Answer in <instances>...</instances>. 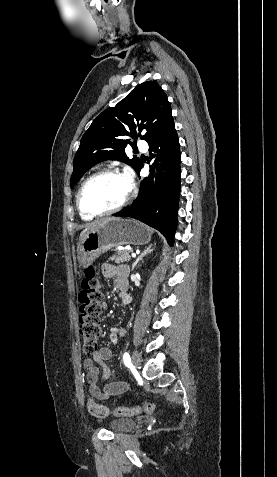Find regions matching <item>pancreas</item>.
I'll return each mask as SVG.
<instances>
[{
	"label": "pancreas",
	"instance_id": "1",
	"mask_svg": "<svg viewBox=\"0 0 277 477\" xmlns=\"http://www.w3.org/2000/svg\"><path fill=\"white\" fill-rule=\"evenodd\" d=\"M130 252L132 251H127V250H121L117 251L115 255L110 257L111 261H115L116 263H121V262H129L131 260Z\"/></svg>",
	"mask_w": 277,
	"mask_h": 477
}]
</instances>
